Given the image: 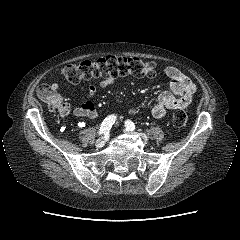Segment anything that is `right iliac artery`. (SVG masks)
<instances>
[{"label":"right iliac artery","mask_w":240,"mask_h":240,"mask_svg":"<svg viewBox=\"0 0 240 240\" xmlns=\"http://www.w3.org/2000/svg\"><path fill=\"white\" fill-rule=\"evenodd\" d=\"M115 120H116L115 115H109L108 117H106L100 126L98 134L102 135L108 133L112 125L115 123Z\"/></svg>","instance_id":"1"}]
</instances>
